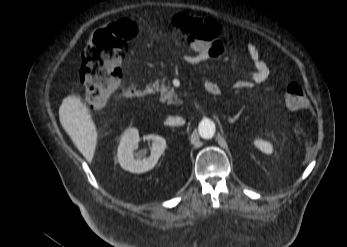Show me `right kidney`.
<instances>
[{"mask_svg":"<svg viewBox=\"0 0 347 247\" xmlns=\"http://www.w3.org/2000/svg\"><path fill=\"white\" fill-rule=\"evenodd\" d=\"M152 140L151 154L145 157L144 151L136 152L140 141L139 132L136 128H130L124 132L117 149V156L120 166L131 173H144L157 164L159 158L166 148V141L163 137L149 134L145 137Z\"/></svg>","mask_w":347,"mask_h":247,"instance_id":"obj_1","label":"right kidney"}]
</instances>
